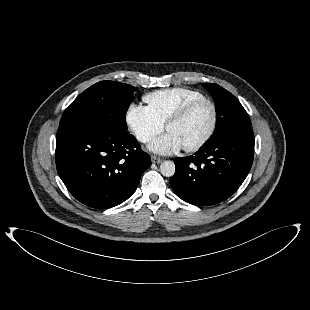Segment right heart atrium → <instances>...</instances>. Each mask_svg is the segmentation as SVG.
<instances>
[{
    "instance_id": "obj_1",
    "label": "right heart atrium",
    "mask_w": 310,
    "mask_h": 310,
    "mask_svg": "<svg viewBox=\"0 0 310 310\" xmlns=\"http://www.w3.org/2000/svg\"><path fill=\"white\" fill-rule=\"evenodd\" d=\"M125 122L134 137L144 144L151 142L164 130V125L160 124L146 107L135 103L129 105Z\"/></svg>"
}]
</instances>
